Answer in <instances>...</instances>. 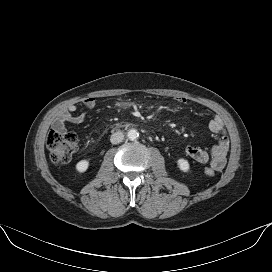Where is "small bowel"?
<instances>
[{
	"label": "small bowel",
	"mask_w": 272,
	"mask_h": 272,
	"mask_svg": "<svg viewBox=\"0 0 272 272\" xmlns=\"http://www.w3.org/2000/svg\"><path fill=\"white\" fill-rule=\"evenodd\" d=\"M176 101L184 104L187 102L185 97H177ZM96 100L93 97H88L84 100V105L87 110L94 108ZM77 107L75 105H69L63 110L53 122V128L59 132H65L66 123H81L86 119L87 113L75 114ZM208 129L219 137L218 143L214 145L210 151L202 149L200 147L188 146L186 148V154L198 163L210 162V166L220 171L225 167L226 156L229 150L230 141L224 127L223 121L219 116H214L208 122Z\"/></svg>",
	"instance_id": "small-bowel-1"
}]
</instances>
